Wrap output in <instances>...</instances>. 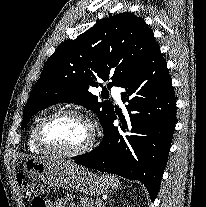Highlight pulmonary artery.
Returning a JSON list of instances; mask_svg holds the SVG:
<instances>
[{
	"mask_svg": "<svg viewBox=\"0 0 206 207\" xmlns=\"http://www.w3.org/2000/svg\"><path fill=\"white\" fill-rule=\"evenodd\" d=\"M111 93L113 95V97L117 100L120 101L121 100V88L113 86L111 88Z\"/></svg>",
	"mask_w": 206,
	"mask_h": 207,
	"instance_id": "obj_1",
	"label": "pulmonary artery"
}]
</instances>
